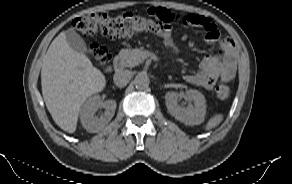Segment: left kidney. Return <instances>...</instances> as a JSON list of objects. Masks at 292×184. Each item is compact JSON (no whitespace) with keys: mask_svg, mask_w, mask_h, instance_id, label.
I'll list each match as a JSON object with an SVG mask.
<instances>
[{"mask_svg":"<svg viewBox=\"0 0 292 184\" xmlns=\"http://www.w3.org/2000/svg\"><path fill=\"white\" fill-rule=\"evenodd\" d=\"M186 96L190 101H194V106L180 107L177 103L179 94L167 92L165 95L167 110L175 119L186 125H199L203 122L206 114L205 97L201 92L193 89L188 90Z\"/></svg>","mask_w":292,"mask_h":184,"instance_id":"left-kidney-1","label":"left kidney"}]
</instances>
